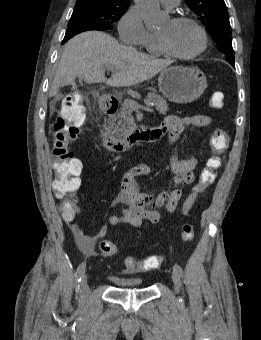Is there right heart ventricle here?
<instances>
[{"instance_id":"right-heart-ventricle-1","label":"right heart ventricle","mask_w":261,"mask_h":340,"mask_svg":"<svg viewBox=\"0 0 261 340\" xmlns=\"http://www.w3.org/2000/svg\"><path fill=\"white\" fill-rule=\"evenodd\" d=\"M141 47L145 49V51L150 55L153 56L165 55V53L162 51L158 43L157 36L155 34L150 33L149 37L143 42Z\"/></svg>"}]
</instances>
